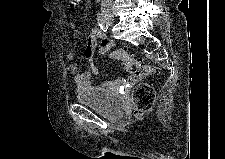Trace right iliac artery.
Wrapping results in <instances>:
<instances>
[{
    "instance_id": "obj_1",
    "label": "right iliac artery",
    "mask_w": 225,
    "mask_h": 159,
    "mask_svg": "<svg viewBox=\"0 0 225 159\" xmlns=\"http://www.w3.org/2000/svg\"><path fill=\"white\" fill-rule=\"evenodd\" d=\"M98 24L101 27V29L106 32L109 28L104 11H101L98 13L97 16Z\"/></svg>"
}]
</instances>
